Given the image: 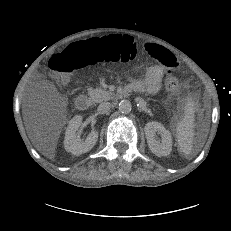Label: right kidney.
I'll list each match as a JSON object with an SVG mask.
<instances>
[{"mask_svg": "<svg viewBox=\"0 0 231 231\" xmlns=\"http://www.w3.org/2000/svg\"><path fill=\"white\" fill-rule=\"evenodd\" d=\"M82 122V116L76 115L70 121L65 132L64 148L73 155H81L90 151L98 140V132L92 130L85 141L77 138L76 132L79 130Z\"/></svg>", "mask_w": 231, "mask_h": 231, "instance_id": "obj_1", "label": "right kidney"}]
</instances>
